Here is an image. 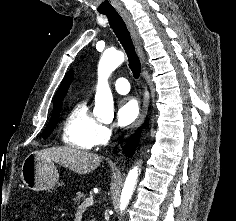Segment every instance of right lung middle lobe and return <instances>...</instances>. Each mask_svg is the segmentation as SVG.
Wrapping results in <instances>:
<instances>
[{"mask_svg": "<svg viewBox=\"0 0 236 221\" xmlns=\"http://www.w3.org/2000/svg\"><path fill=\"white\" fill-rule=\"evenodd\" d=\"M60 111H61V104L53 106L51 120L49 121L48 125L46 126V128L42 134L44 139H46L54 130V128L58 122V117L60 115Z\"/></svg>", "mask_w": 236, "mask_h": 221, "instance_id": "1", "label": "right lung middle lobe"}]
</instances>
